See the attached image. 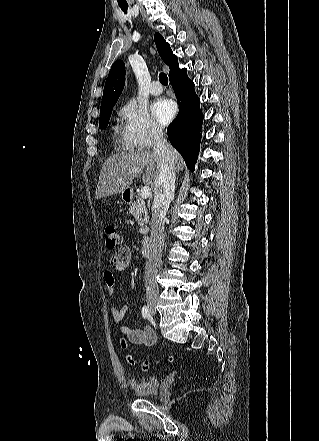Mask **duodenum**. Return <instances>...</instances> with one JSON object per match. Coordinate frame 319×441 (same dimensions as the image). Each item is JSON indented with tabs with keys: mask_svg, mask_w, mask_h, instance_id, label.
<instances>
[{
	"mask_svg": "<svg viewBox=\"0 0 319 441\" xmlns=\"http://www.w3.org/2000/svg\"><path fill=\"white\" fill-rule=\"evenodd\" d=\"M124 199L130 202L132 199V194L130 191H125ZM153 251V243L149 237H146L141 242V253L144 257L149 258Z\"/></svg>",
	"mask_w": 319,
	"mask_h": 441,
	"instance_id": "1",
	"label": "duodenum"
}]
</instances>
